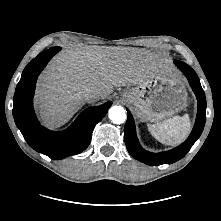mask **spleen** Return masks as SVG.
<instances>
[{
    "label": "spleen",
    "instance_id": "spleen-1",
    "mask_svg": "<svg viewBox=\"0 0 221 221\" xmlns=\"http://www.w3.org/2000/svg\"><path fill=\"white\" fill-rule=\"evenodd\" d=\"M151 135L165 145H178L190 133L191 123L188 114L174 116L157 124H148Z\"/></svg>",
    "mask_w": 221,
    "mask_h": 221
}]
</instances>
